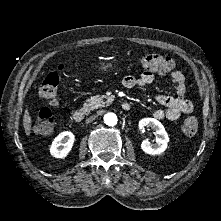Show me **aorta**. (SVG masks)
Returning <instances> with one entry per match:
<instances>
[{"label": "aorta", "mask_w": 221, "mask_h": 221, "mask_svg": "<svg viewBox=\"0 0 221 221\" xmlns=\"http://www.w3.org/2000/svg\"><path fill=\"white\" fill-rule=\"evenodd\" d=\"M118 118L115 113L109 112L104 115V122L108 126H115L117 124Z\"/></svg>", "instance_id": "762f6f07"}]
</instances>
